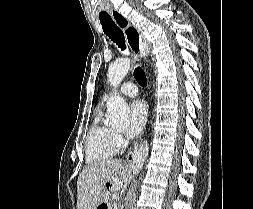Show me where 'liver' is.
<instances>
[{
    "label": "liver",
    "mask_w": 253,
    "mask_h": 209,
    "mask_svg": "<svg viewBox=\"0 0 253 209\" xmlns=\"http://www.w3.org/2000/svg\"><path fill=\"white\" fill-rule=\"evenodd\" d=\"M130 181V172L121 160L109 159L86 166L77 181V209H95L99 204L104 186L118 192Z\"/></svg>",
    "instance_id": "liver-1"
}]
</instances>
